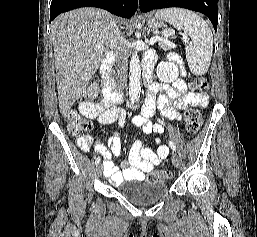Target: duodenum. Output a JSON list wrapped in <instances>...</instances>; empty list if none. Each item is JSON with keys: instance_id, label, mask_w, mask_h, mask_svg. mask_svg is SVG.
<instances>
[{"instance_id": "duodenum-1", "label": "duodenum", "mask_w": 257, "mask_h": 237, "mask_svg": "<svg viewBox=\"0 0 257 237\" xmlns=\"http://www.w3.org/2000/svg\"><path fill=\"white\" fill-rule=\"evenodd\" d=\"M116 60V56L114 53H109L104 58L101 66H100V74L102 78V87H103V95L104 97L111 102H119L121 100L120 92L117 88V85L112 76L111 67ZM150 72L148 68L144 67V79L148 84L150 82Z\"/></svg>"}]
</instances>
